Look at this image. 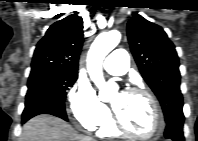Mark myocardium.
Instances as JSON below:
<instances>
[{
    "label": "myocardium",
    "instance_id": "myocardium-1",
    "mask_svg": "<svg viewBox=\"0 0 198 141\" xmlns=\"http://www.w3.org/2000/svg\"><path fill=\"white\" fill-rule=\"evenodd\" d=\"M128 93L143 95L149 100L153 108L154 130L148 135H139L137 133H134L123 125L118 114L116 113V111H114L113 112V124L115 128L118 131L124 133L125 135L138 139V140L150 141V140L157 138L163 129V116H162L161 108L157 99L151 92L140 87L131 88L128 91Z\"/></svg>",
    "mask_w": 198,
    "mask_h": 141
}]
</instances>
